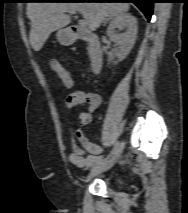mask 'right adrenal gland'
<instances>
[{
	"label": "right adrenal gland",
	"mask_w": 188,
	"mask_h": 213,
	"mask_svg": "<svg viewBox=\"0 0 188 213\" xmlns=\"http://www.w3.org/2000/svg\"><path fill=\"white\" fill-rule=\"evenodd\" d=\"M111 20V18H107L105 21H104V25H106V23L108 22V21H110Z\"/></svg>",
	"instance_id": "right-adrenal-gland-1"
}]
</instances>
